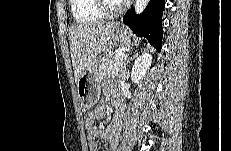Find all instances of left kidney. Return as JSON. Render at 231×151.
Masks as SVG:
<instances>
[{
  "label": "left kidney",
  "instance_id": "1",
  "mask_svg": "<svg viewBox=\"0 0 231 151\" xmlns=\"http://www.w3.org/2000/svg\"><path fill=\"white\" fill-rule=\"evenodd\" d=\"M151 63L152 56L149 53L142 54L136 58L131 71L132 81L138 84L139 81L145 76Z\"/></svg>",
  "mask_w": 231,
  "mask_h": 151
}]
</instances>
